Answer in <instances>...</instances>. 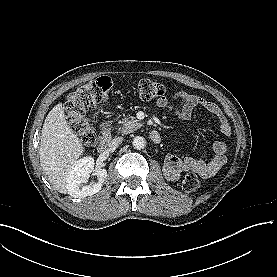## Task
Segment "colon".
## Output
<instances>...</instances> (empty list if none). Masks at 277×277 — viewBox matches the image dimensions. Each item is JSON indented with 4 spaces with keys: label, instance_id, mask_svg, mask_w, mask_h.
Masks as SVG:
<instances>
[{
    "label": "colon",
    "instance_id": "1",
    "mask_svg": "<svg viewBox=\"0 0 277 277\" xmlns=\"http://www.w3.org/2000/svg\"><path fill=\"white\" fill-rule=\"evenodd\" d=\"M112 87L109 77H101L87 85L81 86L67 96L66 110L69 122L82 141L88 145L95 142V134L90 128L85 114L88 110L96 107L106 97ZM138 92L142 98H164L166 87L156 81L143 79L138 85ZM198 186V180L194 175H187L183 181L186 192H193Z\"/></svg>",
    "mask_w": 277,
    "mask_h": 277
}]
</instances>
